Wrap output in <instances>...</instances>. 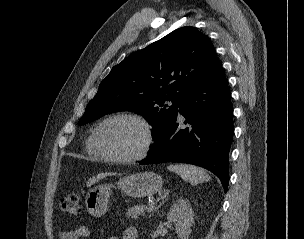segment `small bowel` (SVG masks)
Returning <instances> with one entry per match:
<instances>
[{
	"mask_svg": "<svg viewBox=\"0 0 304 239\" xmlns=\"http://www.w3.org/2000/svg\"><path fill=\"white\" fill-rule=\"evenodd\" d=\"M90 232L87 227L80 226L76 229L63 230L59 233V239H82L89 238ZM108 239H120L119 237L112 236ZM121 239H137V231L133 227H129L123 231Z\"/></svg>",
	"mask_w": 304,
	"mask_h": 239,
	"instance_id": "small-bowel-1",
	"label": "small bowel"
}]
</instances>
